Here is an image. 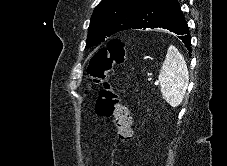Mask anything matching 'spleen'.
Returning a JSON list of instances; mask_svg holds the SVG:
<instances>
[{
    "instance_id": "1",
    "label": "spleen",
    "mask_w": 227,
    "mask_h": 166,
    "mask_svg": "<svg viewBox=\"0 0 227 166\" xmlns=\"http://www.w3.org/2000/svg\"><path fill=\"white\" fill-rule=\"evenodd\" d=\"M163 99L171 106H179L189 83V72L178 49L171 45L159 73Z\"/></svg>"
}]
</instances>
